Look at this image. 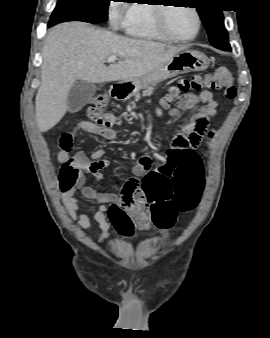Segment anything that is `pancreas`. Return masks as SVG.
I'll list each match as a JSON object with an SVG mask.
<instances>
[{"label": "pancreas", "mask_w": 270, "mask_h": 338, "mask_svg": "<svg viewBox=\"0 0 270 338\" xmlns=\"http://www.w3.org/2000/svg\"><path fill=\"white\" fill-rule=\"evenodd\" d=\"M153 86H155V85H153ZM153 86L148 87L146 90H144L142 92V94H140L139 92L134 93L133 96H134L135 101H138L141 97H146V96L152 95L153 91H154Z\"/></svg>", "instance_id": "obj_1"}]
</instances>
